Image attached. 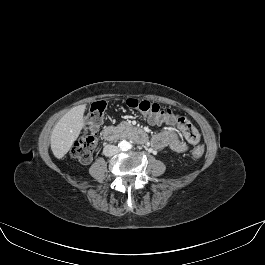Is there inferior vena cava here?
<instances>
[{
	"label": "inferior vena cava",
	"mask_w": 265,
	"mask_h": 265,
	"mask_svg": "<svg viewBox=\"0 0 265 265\" xmlns=\"http://www.w3.org/2000/svg\"><path fill=\"white\" fill-rule=\"evenodd\" d=\"M119 148L115 145H105L103 148V154L107 157H111L119 152Z\"/></svg>",
	"instance_id": "1"
}]
</instances>
